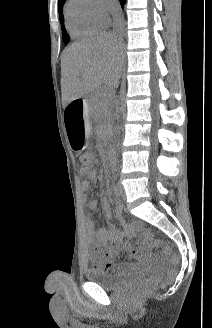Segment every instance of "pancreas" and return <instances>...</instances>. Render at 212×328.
<instances>
[{
  "label": "pancreas",
  "mask_w": 212,
  "mask_h": 328,
  "mask_svg": "<svg viewBox=\"0 0 212 328\" xmlns=\"http://www.w3.org/2000/svg\"><path fill=\"white\" fill-rule=\"evenodd\" d=\"M92 107L99 116L106 119L109 115L110 100L106 94L102 92H96L93 95Z\"/></svg>",
  "instance_id": "cf45deb5"
}]
</instances>
